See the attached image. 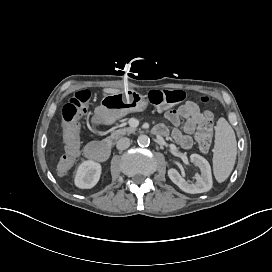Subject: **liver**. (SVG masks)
Instances as JSON below:
<instances>
[{"instance_id":"liver-1","label":"liver","mask_w":272,"mask_h":272,"mask_svg":"<svg viewBox=\"0 0 272 272\" xmlns=\"http://www.w3.org/2000/svg\"><path fill=\"white\" fill-rule=\"evenodd\" d=\"M103 91L108 94H115V93L120 92L118 89H113V88H105V89H103Z\"/></svg>"}]
</instances>
